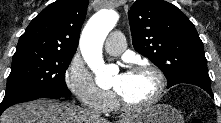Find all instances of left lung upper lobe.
Returning a JSON list of instances; mask_svg holds the SVG:
<instances>
[{
	"mask_svg": "<svg viewBox=\"0 0 221 123\" xmlns=\"http://www.w3.org/2000/svg\"><path fill=\"white\" fill-rule=\"evenodd\" d=\"M128 18L135 50L163 71L167 87L189 80L211 83L203 43L176 6L163 0H136Z\"/></svg>",
	"mask_w": 221,
	"mask_h": 123,
	"instance_id": "5c2ea615",
	"label": "left lung upper lobe"
}]
</instances>
